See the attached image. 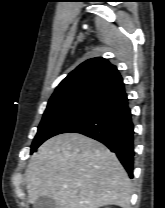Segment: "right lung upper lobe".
I'll return each instance as SVG.
<instances>
[{
	"label": "right lung upper lobe",
	"instance_id": "cb5924a9",
	"mask_svg": "<svg viewBox=\"0 0 165 208\" xmlns=\"http://www.w3.org/2000/svg\"><path fill=\"white\" fill-rule=\"evenodd\" d=\"M124 91L117 68L96 57L80 64L56 88L48 106L85 104L95 106L102 100Z\"/></svg>",
	"mask_w": 165,
	"mask_h": 208
}]
</instances>
